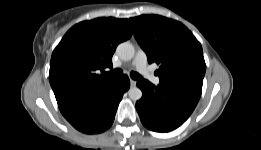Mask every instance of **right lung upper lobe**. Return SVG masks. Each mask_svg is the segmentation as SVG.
<instances>
[{"instance_id": "1", "label": "right lung upper lobe", "mask_w": 261, "mask_h": 150, "mask_svg": "<svg viewBox=\"0 0 261 150\" xmlns=\"http://www.w3.org/2000/svg\"><path fill=\"white\" fill-rule=\"evenodd\" d=\"M133 29L127 19L97 18L73 26L53 51L49 81L63 115L106 92L118 79L104 71L112 68L117 45Z\"/></svg>"}]
</instances>
